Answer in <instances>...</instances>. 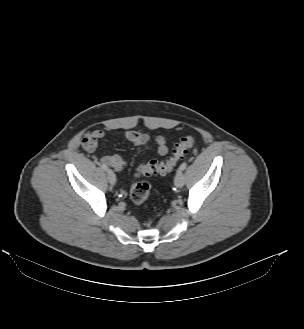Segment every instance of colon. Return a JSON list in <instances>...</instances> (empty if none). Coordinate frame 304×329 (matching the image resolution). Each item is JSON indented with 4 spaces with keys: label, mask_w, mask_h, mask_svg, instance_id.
<instances>
[{
    "label": "colon",
    "mask_w": 304,
    "mask_h": 329,
    "mask_svg": "<svg viewBox=\"0 0 304 329\" xmlns=\"http://www.w3.org/2000/svg\"><path fill=\"white\" fill-rule=\"evenodd\" d=\"M195 138L191 135L182 137L172 149L170 157L164 162L151 160L140 164L135 172L136 178L167 175L171 173L178 162L184 158L187 151L195 145ZM152 192L144 181H135L130 187V198L135 204H146L150 201Z\"/></svg>",
    "instance_id": "1"
}]
</instances>
